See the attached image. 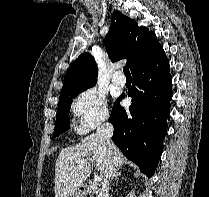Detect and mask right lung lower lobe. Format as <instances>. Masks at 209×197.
I'll list each match as a JSON object with an SVG mask.
<instances>
[{
  "label": "right lung lower lobe",
  "instance_id": "obj_1",
  "mask_svg": "<svg viewBox=\"0 0 209 197\" xmlns=\"http://www.w3.org/2000/svg\"><path fill=\"white\" fill-rule=\"evenodd\" d=\"M136 87L128 90L132 104L128 109L115 102L109 122L114 126L112 140L123 154L151 178L163 151L167 133L166 118L172 97L169 61L160 52L132 71Z\"/></svg>",
  "mask_w": 209,
  "mask_h": 197
}]
</instances>
